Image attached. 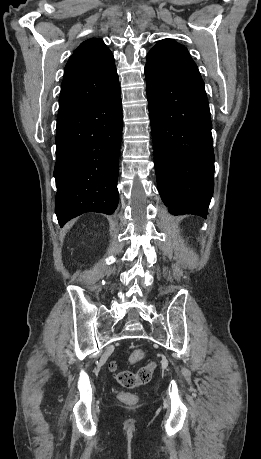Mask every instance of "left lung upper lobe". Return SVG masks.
Wrapping results in <instances>:
<instances>
[{
	"label": "left lung upper lobe",
	"instance_id": "left-lung-upper-lobe-1",
	"mask_svg": "<svg viewBox=\"0 0 261 459\" xmlns=\"http://www.w3.org/2000/svg\"><path fill=\"white\" fill-rule=\"evenodd\" d=\"M146 66L169 76L202 80L186 47L172 39L159 41L149 51Z\"/></svg>",
	"mask_w": 261,
	"mask_h": 459
}]
</instances>
